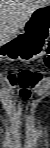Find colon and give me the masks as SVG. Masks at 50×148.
<instances>
[{
    "label": "colon",
    "mask_w": 50,
    "mask_h": 148,
    "mask_svg": "<svg viewBox=\"0 0 50 148\" xmlns=\"http://www.w3.org/2000/svg\"><path fill=\"white\" fill-rule=\"evenodd\" d=\"M44 64H50L49 58L44 60ZM46 79L45 71H32L28 69L10 72L7 80L14 86L19 87L20 94L25 98H30L34 94V88L40 86Z\"/></svg>",
    "instance_id": "obj_1"
}]
</instances>
